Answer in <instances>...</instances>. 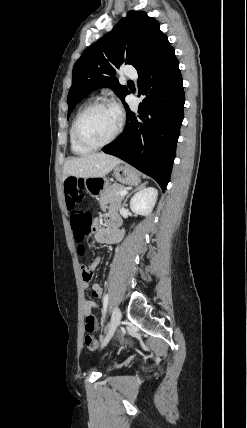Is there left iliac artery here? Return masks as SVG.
<instances>
[{"label": "left iliac artery", "instance_id": "left-iliac-artery-1", "mask_svg": "<svg viewBox=\"0 0 247 428\" xmlns=\"http://www.w3.org/2000/svg\"><path fill=\"white\" fill-rule=\"evenodd\" d=\"M108 301H109V295L105 294L104 298H103V314L105 315L107 312V307H108Z\"/></svg>", "mask_w": 247, "mask_h": 428}]
</instances>
